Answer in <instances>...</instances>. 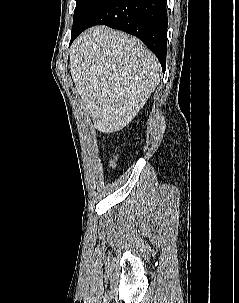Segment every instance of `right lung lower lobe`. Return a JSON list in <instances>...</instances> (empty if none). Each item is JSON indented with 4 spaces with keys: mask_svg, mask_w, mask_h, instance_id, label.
<instances>
[{
    "mask_svg": "<svg viewBox=\"0 0 239 303\" xmlns=\"http://www.w3.org/2000/svg\"><path fill=\"white\" fill-rule=\"evenodd\" d=\"M167 0H106L87 24L71 36L70 44L85 29L107 25L138 37L156 55L163 72L167 53Z\"/></svg>",
    "mask_w": 239,
    "mask_h": 303,
    "instance_id": "1",
    "label": "right lung lower lobe"
}]
</instances>
